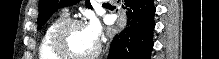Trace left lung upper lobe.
Instances as JSON below:
<instances>
[{
    "label": "left lung upper lobe",
    "instance_id": "left-lung-upper-lobe-1",
    "mask_svg": "<svg viewBox=\"0 0 219 59\" xmlns=\"http://www.w3.org/2000/svg\"><path fill=\"white\" fill-rule=\"evenodd\" d=\"M79 1L80 0H40L37 29H41L56 10L61 7L74 5ZM85 5L88 8H92L89 0L85 1Z\"/></svg>",
    "mask_w": 219,
    "mask_h": 59
}]
</instances>
